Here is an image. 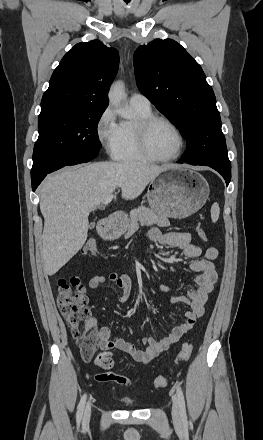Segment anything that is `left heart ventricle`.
<instances>
[{"mask_svg": "<svg viewBox=\"0 0 263 440\" xmlns=\"http://www.w3.org/2000/svg\"><path fill=\"white\" fill-rule=\"evenodd\" d=\"M148 146L152 154L169 157L176 154L179 140L175 131L165 122H156L148 131Z\"/></svg>", "mask_w": 263, "mask_h": 440, "instance_id": "1", "label": "left heart ventricle"}]
</instances>
